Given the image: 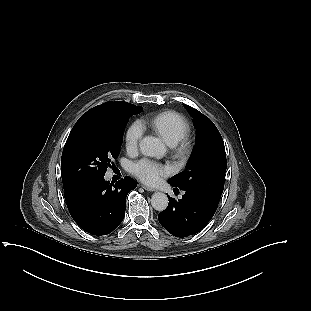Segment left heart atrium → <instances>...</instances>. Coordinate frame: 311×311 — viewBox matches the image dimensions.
Instances as JSON below:
<instances>
[{"mask_svg":"<svg viewBox=\"0 0 311 311\" xmlns=\"http://www.w3.org/2000/svg\"><path fill=\"white\" fill-rule=\"evenodd\" d=\"M131 171L146 183L155 182L166 173L162 165L146 158L133 163Z\"/></svg>","mask_w":311,"mask_h":311,"instance_id":"obj_1","label":"left heart atrium"}]
</instances>
